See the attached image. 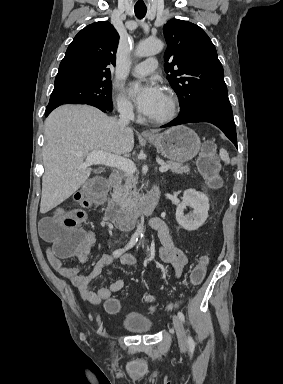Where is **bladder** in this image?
<instances>
[{
    "label": "bladder",
    "instance_id": "obj_1",
    "mask_svg": "<svg viewBox=\"0 0 283 384\" xmlns=\"http://www.w3.org/2000/svg\"><path fill=\"white\" fill-rule=\"evenodd\" d=\"M121 327L126 328L131 335H148L153 331L154 323L141 311L128 310L121 321Z\"/></svg>",
    "mask_w": 283,
    "mask_h": 384
}]
</instances>
